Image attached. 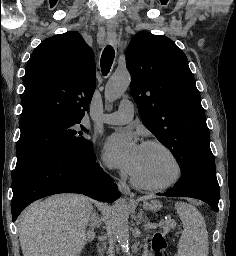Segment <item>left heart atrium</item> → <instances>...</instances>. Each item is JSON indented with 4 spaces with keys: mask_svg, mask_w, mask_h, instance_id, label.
Wrapping results in <instances>:
<instances>
[{
    "mask_svg": "<svg viewBox=\"0 0 236 256\" xmlns=\"http://www.w3.org/2000/svg\"><path fill=\"white\" fill-rule=\"evenodd\" d=\"M140 148L133 134L116 133L106 141L105 157L113 165L131 172L136 165Z\"/></svg>",
    "mask_w": 236,
    "mask_h": 256,
    "instance_id": "left-heart-atrium-1",
    "label": "left heart atrium"
}]
</instances>
